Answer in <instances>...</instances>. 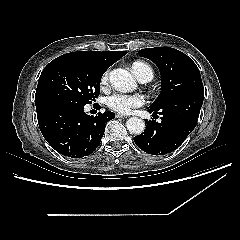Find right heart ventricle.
<instances>
[{"label": "right heart ventricle", "mask_w": 240, "mask_h": 240, "mask_svg": "<svg viewBox=\"0 0 240 240\" xmlns=\"http://www.w3.org/2000/svg\"><path fill=\"white\" fill-rule=\"evenodd\" d=\"M132 71L139 80L142 78H149L151 80L153 77L151 67L143 61H135L132 64Z\"/></svg>", "instance_id": "e07e8e85"}]
</instances>
